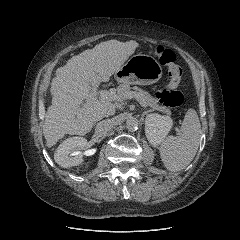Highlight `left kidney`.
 Returning <instances> with one entry per match:
<instances>
[{"label": "left kidney", "instance_id": "left-kidney-1", "mask_svg": "<svg viewBox=\"0 0 240 240\" xmlns=\"http://www.w3.org/2000/svg\"><path fill=\"white\" fill-rule=\"evenodd\" d=\"M173 121L169 116H162L157 113L148 114L145 118V134L154 146L161 144L172 128Z\"/></svg>", "mask_w": 240, "mask_h": 240}]
</instances>
